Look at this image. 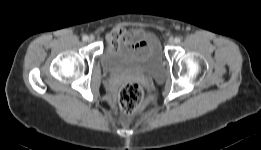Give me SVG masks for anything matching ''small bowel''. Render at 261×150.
I'll use <instances>...</instances> for the list:
<instances>
[{
    "mask_svg": "<svg viewBox=\"0 0 261 150\" xmlns=\"http://www.w3.org/2000/svg\"><path fill=\"white\" fill-rule=\"evenodd\" d=\"M137 35V31H125L121 28H118L113 32V39L111 41V44L124 43L134 45L135 47H143L145 45V42L143 40L133 41V39H135Z\"/></svg>",
    "mask_w": 261,
    "mask_h": 150,
    "instance_id": "1",
    "label": "small bowel"
}]
</instances>
